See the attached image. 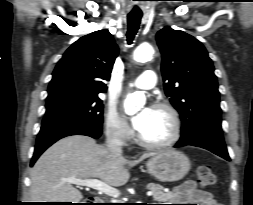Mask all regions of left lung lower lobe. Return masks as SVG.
Wrapping results in <instances>:
<instances>
[{"instance_id": "left-lung-lower-lobe-1", "label": "left lung lower lobe", "mask_w": 253, "mask_h": 205, "mask_svg": "<svg viewBox=\"0 0 253 205\" xmlns=\"http://www.w3.org/2000/svg\"><path fill=\"white\" fill-rule=\"evenodd\" d=\"M186 145L207 149L214 154L230 161L221 130L212 128L201 130L187 142L179 140L174 147H182Z\"/></svg>"}]
</instances>
